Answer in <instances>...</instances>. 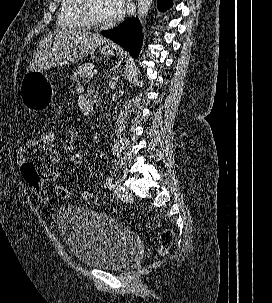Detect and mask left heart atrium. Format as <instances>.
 <instances>
[{
	"instance_id": "1",
	"label": "left heart atrium",
	"mask_w": 272,
	"mask_h": 303,
	"mask_svg": "<svg viewBox=\"0 0 272 303\" xmlns=\"http://www.w3.org/2000/svg\"><path fill=\"white\" fill-rule=\"evenodd\" d=\"M127 0H105L106 14L109 20L120 19L126 11Z\"/></svg>"
}]
</instances>
